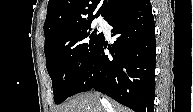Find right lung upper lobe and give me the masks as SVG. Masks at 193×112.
<instances>
[{
	"label": "right lung upper lobe",
	"instance_id": "obj_1",
	"mask_svg": "<svg viewBox=\"0 0 193 112\" xmlns=\"http://www.w3.org/2000/svg\"><path fill=\"white\" fill-rule=\"evenodd\" d=\"M135 0H49L44 24L45 43L58 32L92 23L99 15L109 21ZM100 7L95 15L93 12Z\"/></svg>",
	"mask_w": 193,
	"mask_h": 112
}]
</instances>
